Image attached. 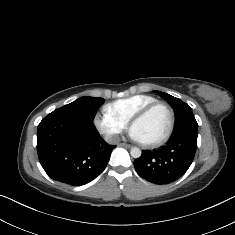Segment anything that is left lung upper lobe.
I'll use <instances>...</instances> for the list:
<instances>
[{
  "instance_id": "5c2ea615",
  "label": "left lung upper lobe",
  "mask_w": 235,
  "mask_h": 235,
  "mask_svg": "<svg viewBox=\"0 0 235 235\" xmlns=\"http://www.w3.org/2000/svg\"><path fill=\"white\" fill-rule=\"evenodd\" d=\"M161 97H163L172 106L175 112V127L172 137L179 135H198V124L192 113L191 107L181 101L180 99L173 97L167 93L156 91Z\"/></svg>"
}]
</instances>
